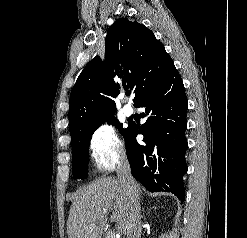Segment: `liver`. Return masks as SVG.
Instances as JSON below:
<instances>
[{
  "mask_svg": "<svg viewBox=\"0 0 247 238\" xmlns=\"http://www.w3.org/2000/svg\"><path fill=\"white\" fill-rule=\"evenodd\" d=\"M137 192L139 195L138 185ZM108 211H112L110 220L116 222L117 230L126 233L129 196L118 179L102 177L76 193L68 218V238H101Z\"/></svg>",
  "mask_w": 247,
  "mask_h": 238,
  "instance_id": "obj_1",
  "label": "liver"
}]
</instances>
